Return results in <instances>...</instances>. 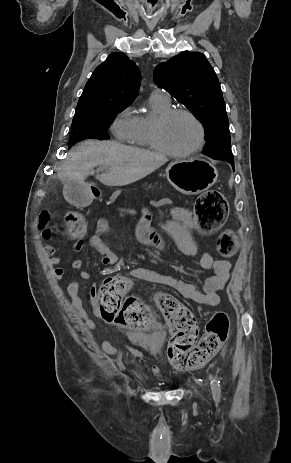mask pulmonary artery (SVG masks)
<instances>
[{
    "label": "pulmonary artery",
    "instance_id": "pulmonary-artery-1",
    "mask_svg": "<svg viewBox=\"0 0 291 463\" xmlns=\"http://www.w3.org/2000/svg\"><path fill=\"white\" fill-rule=\"evenodd\" d=\"M152 95H155L159 98H161L162 100L166 101V102H170V96L168 94L167 91L163 90V89H154L153 92H152Z\"/></svg>",
    "mask_w": 291,
    "mask_h": 463
}]
</instances>
